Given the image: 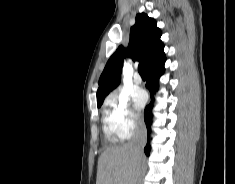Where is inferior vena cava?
<instances>
[{"mask_svg": "<svg viewBox=\"0 0 235 184\" xmlns=\"http://www.w3.org/2000/svg\"><path fill=\"white\" fill-rule=\"evenodd\" d=\"M147 142V130L142 118H138L135 122L134 136L130 142L134 154L141 156L143 154V148Z\"/></svg>", "mask_w": 235, "mask_h": 184, "instance_id": "obj_1", "label": "inferior vena cava"}]
</instances>
